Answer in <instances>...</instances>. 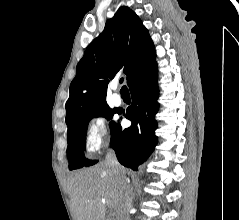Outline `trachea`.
Returning a JSON list of instances; mask_svg holds the SVG:
<instances>
[{"label":"trachea","instance_id":"1","mask_svg":"<svg viewBox=\"0 0 239 220\" xmlns=\"http://www.w3.org/2000/svg\"><path fill=\"white\" fill-rule=\"evenodd\" d=\"M123 82H124V78H121L120 79V84H122ZM123 90H128L125 85H123L122 88H121V91H123Z\"/></svg>","mask_w":239,"mask_h":220}]
</instances>
